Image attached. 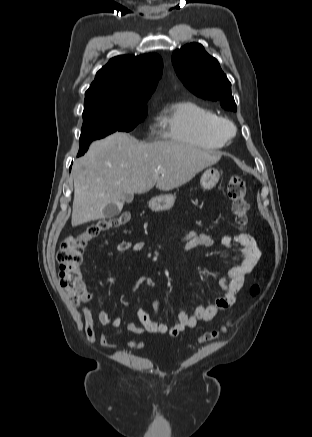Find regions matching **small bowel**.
Returning <instances> with one entry per match:
<instances>
[{
  "label": "small bowel",
  "mask_w": 312,
  "mask_h": 437,
  "mask_svg": "<svg viewBox=\"0 0 312 437\" xmlns=\"http://www.w3.org/2000/svg\"><path fill=\"white\" fill-rule=\"evenodd\" d=\"M178 243L181 249L196 246L211 248L216 245V241L211 235L204 232H197L195 230H183V235L178 239ZM222 244L232 252L234 251V246L238 245L240 247V252H233L232 256L236 265L232 267L227 275L223 276L219 281L223 290V294L220 297L216 298L207 306H197L192 315H189L184 310L179 311L178 321L172 326L158 321L157 314L160 308V300L157 299L153 303V314L151 315L138 307L135 313L141 326L127 322V329L138 334H168L172 337H176L185 329L194 328L198 321H210L219 311L231 307L235 302L237 293L243 285L244 277L254 269L261 257V252L257 247L254 238L248 233L236 235L225 234L222 237ZM144 248V242H132L129 240H123L116 246V250L119 253L140 252L144 250ZM139 285L154 287L156 284L151 277H141L137 282L136 288ZM82 319L85 334L90 343H99L101 346L108 349L121 348V345L111 342L105 333L96 330L93 313L89 306H86L82 310ZM98 320L101 324L111 327H119L122 324L121 317L117 315H109L105 311L99 312ZM125 345L132 349H142L145 347L144 342L130 339L125 341Z\"/></svg>",
  "instance_id": "c3829d8e"
}]
</instances>
